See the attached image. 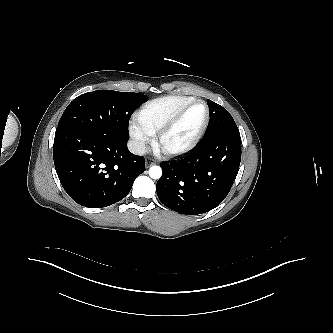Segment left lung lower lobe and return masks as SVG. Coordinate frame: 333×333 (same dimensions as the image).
Returning <instances> with one entry per match:
<instances>
[{
	"label": "left lung lower lobe",
	"instance_id": "obj_1",
	"mask_svg": "<svg viewBox=\"0 0 333 333\" xmlns=\"http://www.w3.org/2000/svg\"><path fill=\"white\" fill-rule=\"evenodd\" d=\"M241 161L239 134L203 138L184 159L161 164L159 200L182 214L197 215L218 206L228 195Z\"/></svg>",
	"mask_w": 333,
	"mask_h": 333
}]
</instances>
